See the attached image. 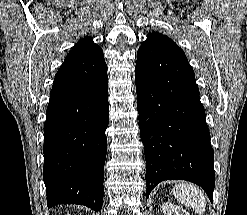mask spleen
Segmentation results:
<instances>
[{
	"label": "spleen",
	"instance_id": "obj_1",
	"mask_svg": "<svg viewBox=\"0 0 247 215\" xmlns=\"http://www.w3.org/2000/svg\"><path fill=\"white\" fill-rule=\"evenodd\" d=\"M172 191L181 204L190 206L197 214L203 215L206 199L201 188L188 182H180L173 187Z\"/></svg>",
	"mask_w": 247,
	"mask_h": 215
}]
</instances>
